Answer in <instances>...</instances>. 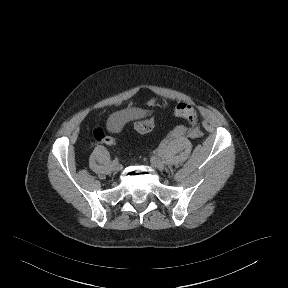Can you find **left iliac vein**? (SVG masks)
<instances>
[{
	"label": "left iliac vein",
	"instance_id": "1",
	"mask_svg": "<svg viewBox=\"0 0 288 288\" xmlns=\"http://www.w3.org/2000/svg\"><path fill=\"white\" fill-rule=\"evenodd\" d=\"M151 166L155 169L158 170H163L164 169V162L162 159L158 158V157H152L150 160Z\"/></svg>",
	"mask_w": 288,
	"mask_h": 288
}]
</instances>
